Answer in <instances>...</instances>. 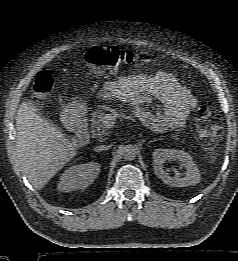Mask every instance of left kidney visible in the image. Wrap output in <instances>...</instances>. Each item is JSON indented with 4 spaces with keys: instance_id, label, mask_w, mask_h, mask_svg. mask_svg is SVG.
<instances>
[{
    "instance_id": "left-kidney-1",
    "label": "left kidney",
    "mask_w": 238,
    "mask_h": 261,
    "mask_svg": "<svg viewBox=\"0 0 238 261\" xmlns=\"http://www.w3.org/2000/svg\"><path fill=\"white\" fill-rule=\"evenodd\" d=\"M170 160H179L186 169L185 176L180 178L170 177L163 169L164 163ZM153 166L155 175L165 184L172 187H186L196 185L200 181V173L191 155L182 150L155 149L153 152Z\"/></svg>"
}]
</instances>
